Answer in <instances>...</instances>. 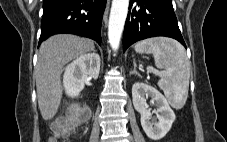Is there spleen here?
Listing matches in <instances>:
<instances>
[{
  "label": "spleen",
  "instance_id": "spleen-1",
  "mask_svg": "<svg viewBox=\"0 0 227 142\" xmlns=\"http://www.w3.org/2000/svg\"><path fill=\"white\" fill-rule=\"evenodd\" d=\"M137 53H151L155 65L163 69L158 86L172 107L182 108L188 97L190 63L184 47L169 38H149L135 44Z\"/></svg>",
  "mask_w": 227,
  "mask_h": 142
}]
</instances>
